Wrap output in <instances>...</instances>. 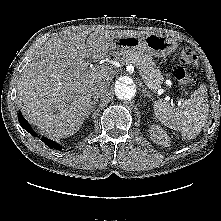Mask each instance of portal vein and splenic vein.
Instances as JSON below:
<instances>
[{
	"label": "portal vein and splenic vein",
	"instance_id": "18ae733b",
	"mask_svg": "<svg viewBox=\"0 0 221 221\" xmlns=\"http://www.w3.org/2000/svg\"><path fill=\"white\" fill-rule=\"evenodd\" d=\"M157 90L160 94L163 93V89H161V87H159Z\"/></svg>",
	"mask_w": 221,
	"mask_h": 221
}]
</instances>
